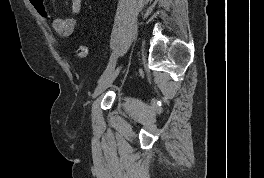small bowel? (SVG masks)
Listing matches in <instances>:
<instances>
[{
    "instance_id": "c3829d8e",
    "label": "small bowel",
    "mask_w": 264,
    "mask_h": 178,
    "mask_svg": "<svg viewBox=\"0 0 264 178\" xmlns=\"http://www.w3.org/2000/svg\"><path fill=\"white\" fill-rule=\"evenodd\" d=\"M82 0H71V15L67 18L50 17L49 23L55 32L62 36H70L78 22V16L81 11Z\"/></svg>"
}]
</instances>
